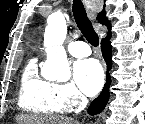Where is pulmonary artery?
I'll list each match as a JSON object with an SVG mask.
<instances>
[{"label": "pulmonary artery", "instance_id": "obj_1", "mask_svg": "<svg viewBox=\"0 0 145 124\" xmlns=\"http://www.w3.org/2000/svg\"><path fill=\"white\" fill-rule=\"evenodd\" d=\"M67 49L74 57H86L91 54L90 47L83 41H74L68 44Z\"/></svg>", "mask_w": 145, "mask_h": 124}]
</instances>
